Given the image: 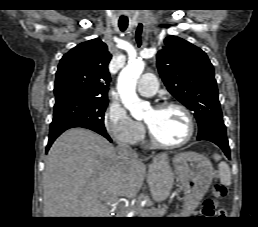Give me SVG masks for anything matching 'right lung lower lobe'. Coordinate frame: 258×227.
I'll use <instances>...</instances> for the list:
<instances>
[{"instance_id": "right-lung-lower-lobe-1", "label": "right lung lower lobe", "mask_w": 258, "mask_h": 227, "mask_svg": "<svg viewBox=\"0 0 258 227\" xmlns=\"http://www.w3.org/2000/svg\"><path fill=\"white\" fill-rule=\"evenodd\" d=\"M73 127H80L74 123L66 122V121H52L50 125V133H49V141L48 145L46 147V152H48L50 146L54 142V140L65 130L73 128ZM107 138L110 142H112L109 135L106 133V131L97 132Z\"/></svg>"}]
</instances>
